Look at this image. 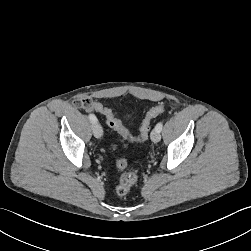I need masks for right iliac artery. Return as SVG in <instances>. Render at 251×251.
<instances>
[{"mask_svg":"<svg viewBox=\"0 0 251 251\" xmlns=\"http://www.w3.org/2000/svg\"><path fill=\"white\" fill-rule=\"evenodd\" d=\"M88 118L92 123L97 122V118H96V116L94 114H89Z\"/></svg>","mask_w":251,"mask_h":251,"instance_id":"right-iliac-artery-1","label":"right iliac artery"}]
</instances>
